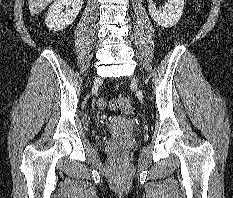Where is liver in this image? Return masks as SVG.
<instances>
[{
	"mask_svg": "<svg viewBox=\"0 0 233 198\" xmlns=\"http://www.w3.org/2000/svg\"><path fill=\"white\" fill-rule=\"evenodd\" d=\"M54 0H28L30 14L36 15L44 10Z\"/></svg>",
	"mask_w": 233,
	"mask_h": 198,
	"instance_id": "liver-1",
	"label": "liver"
}]
</instances>
